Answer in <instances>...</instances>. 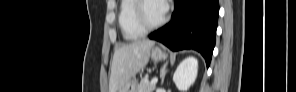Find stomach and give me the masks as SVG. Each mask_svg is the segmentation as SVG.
I'll list each match as a JSON object with an SVG mask.
<instances>
[{
  "label": "stomach",
  "instance_id": "obj_1",
  "mask_svg": "<svg viewBox=\"0 0 296 92\" xmlns=\"http://www.w3.org/2000/svg\"><path fill=\"white\" fill-rule=\"evenodd\" d=\"M167 58V53L164 52L159 47H153L151 50V59L155 62L162 61ZM138 81L133 78L130 79L120 90L119 92H137Z\"/></svg>",
  "mask_w": 296,
  "mask_h": 92
}]
</instances>
